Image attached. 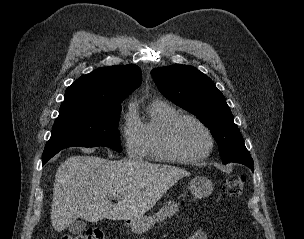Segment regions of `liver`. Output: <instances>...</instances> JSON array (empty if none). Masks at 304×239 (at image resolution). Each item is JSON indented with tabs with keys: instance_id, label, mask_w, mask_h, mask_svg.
I'll use <instances>...</instances> for the list:
<instances>
[{
	"instance_id": "liver-1",
	"label": "liver",
	"mask_w": 304,
	"mask_h": 239,
	"mask_svg": "<svg viewBox=\"0 0 304 239\" xmlns=\"http://www.w3.org/2000/svg\"><path fill=\"white\" fill-rule=\"evenodd\" d=\"M188 175L186 170L170 165L71 156L55 175L52 227L61 232L78 218L89 222L138 218ZM113 194L120 196L116 204L109 201Z\"/></svg>"
}]
</instances>
